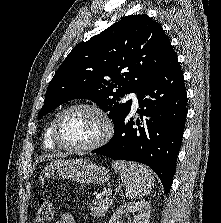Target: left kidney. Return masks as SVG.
<instances>
[{
    "mask_svg": "<svg viewBox=\"0 0 221 223\" xmlns=\"http://www.w3.org/2000/svg\"><path fill=\"white\" fill-rule=\"evenodd\" d=\"M131 212L136 214L133 223H148L151 207L146 201L125 203L113 213L109 223H123L122 217Z\"/></svg>",
    "mask_w": 221,
    "mask_h": 223,
    "instance_id": "left-kidney-1",
    "label": "left kidney"
}]
</instances>
